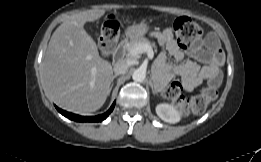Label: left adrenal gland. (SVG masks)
Masks as SVG:
<instances>
[{
    "instance_id": "obj_1",
    "label": "left adrenal gland",
    "mask_w": 261,
    "mask_h": 162,
    "mask_svg": "<svg viewBox=\"0 0 261 162\" xmlns=\"http://www.w3.org/2000/svg\"><path fill=\"white\" fill-rule=\"evenodd\" d=\"M150 86H151V88H152L153 93H157V92L155 91L154 86H153V83H152L151 81H150Z\"/></svg>"
}]
</instances>
